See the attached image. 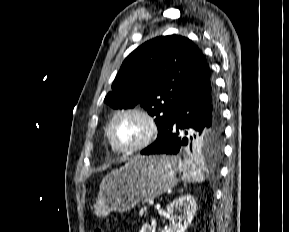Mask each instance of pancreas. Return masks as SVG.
<instances>
[{
    "label": "pancreas",
    "mask_w": 289,
    "mask_h": 232,
    "mask_svg": "<svg viewBox=\"0 0 289 232\" xmlns=\"http://www.w3.org/2000/svg\"><path fill=\"white\" fill-rule=\"evenodd\" d=\"M144 211H146V207H144L140 210V215H142L144 213Z\"/></svg>",
    "instance_id": "1"
}]
</instances>
